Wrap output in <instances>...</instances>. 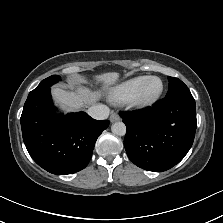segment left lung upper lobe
<instances>
[{
  "mask_svg": "<svg viewBox=\"0 0 223 223\" xmlns=\"http://www.w3.org/2000/svg\"><path fill=\"white\" fill-rule=\"evenodd\" d=\"M169 89L166 97L193 98L188 87L178 78L168 76Z\"/></svg>",
  "mask_w": 223,
  "mask_h": 223,
  "instance_id": "obj_1",
  "label": "left lung upper lobe"
}]
</instances>
